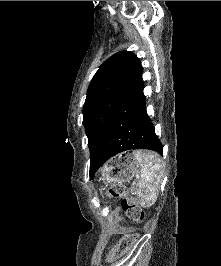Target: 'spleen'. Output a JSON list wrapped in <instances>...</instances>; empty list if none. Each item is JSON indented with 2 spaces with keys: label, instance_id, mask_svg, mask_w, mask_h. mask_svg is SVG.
<instances>
[{
  "label": "spleen",
  "instance_id": "1",
  "mask_svg": "<svg viewBox=\"0 0 221 266\" xmlns=\"http://www.w3.org/2000/svg\"><path fill=\"white\" fill-rule=\"evenodd\" d=\"M134 156L140 165L136 177V194L141 202L152 199L164 177V169L160 158L153 152L135 151Z\"/></svg>",
  "mask_w": 221,
  "mask_h": 266
}]
</instances>
